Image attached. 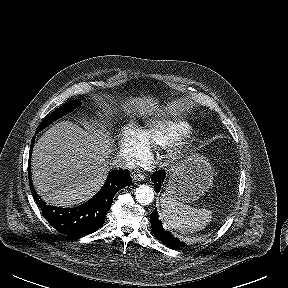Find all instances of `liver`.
<instances>
[{"label":"liver","mask_w":288,"mask_h":288,"mask_svg":"<svg viewBox=\"0 0 288 288\" xmlns=\"http://www.w3.org/2000/svg\"><path fill=\"white\" fill-rule=\"evenodd\" d=\"M158 101L130 98L122 107L152 115ZM106 129L92 124L86 130L62 121L50 127L36 142L32 153V179L38 195L58 207L79 205L95 195L109 172L110 138Z\"/></svg>","instance_id":"obj_1"}]
</instances>
